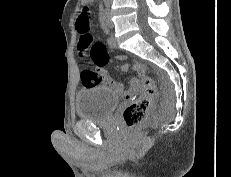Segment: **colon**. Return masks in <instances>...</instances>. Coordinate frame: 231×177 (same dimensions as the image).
I'll return each mask as SVG.
<instances>
[{
    "label": "colon",
    "instance_id": "1",
    "mask_svg": "<svg viewBox=\"0 0 231 177\" xmlns=\"http://www.w3.org/2000/svg\"><path fill=\"white\" fill-rule=\"evenodd\" d=\"M77 29L80 33V57L89 59L97 66L108 63L110 57L102 43L94 42L91 32V10L89 6H84L76 21ZM87 84H97L100 77L97 72L86 69L82 74ZM156 95V85L152 78L145 76L141 81V96L126 106L123 117L129 128H136L146 119L148 110Z\"/></svg>",
    "mask_w": 231,
    "mask_h": 177
}]
</instances>
